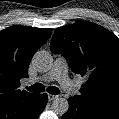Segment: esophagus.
Masks as SVG:
<instances>
[{
	"mask_svg": "<svg viewBox=\"0 0 119 119\" xmlns=\"http://www.w3.org/2000/svg\"><path fill=\"white\" fill-rule=\"evenodd\" d=\"M56 98H58V95L48 94V100L49 101H53Z\"/></svg>",
	"mask_w": 119,
	"mask_h": 119,
	"instance_id": "esophagus-1",
	"label": "esophagus"
}]
</instances>
